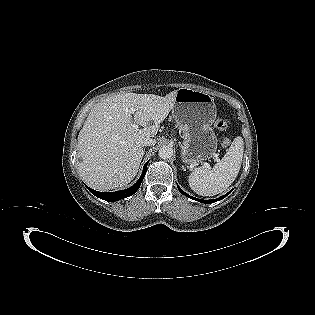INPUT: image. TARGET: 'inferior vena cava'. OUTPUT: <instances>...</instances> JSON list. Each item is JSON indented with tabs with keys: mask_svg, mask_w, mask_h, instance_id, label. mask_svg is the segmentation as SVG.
<instances>
[{
	"mask_svg": "<svg viewBox=\"0 0 315 315\" xmlns=\"http://www.w3.org/2000/svg\"><path fill=\"white\" fill-rule=\"evenodd\" d=\"M155 143H156V140L151 139V138H144L142 140V145L143 146H152V145H155Z\"/></svg>",
	"mask_w": 315,
	"mask_h": 315,
	"instance_id": "obj_1",
	"label": "inferior vena cava"
}]
</instances>
